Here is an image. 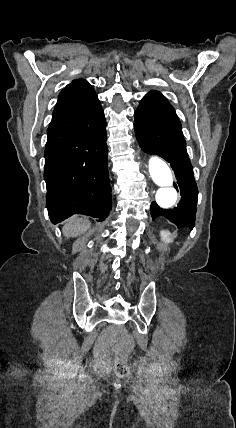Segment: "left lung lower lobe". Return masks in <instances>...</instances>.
<instances>
[{
  "label": "left lung lower lobe",
  "mask_w": 236,
  "mask_h": 428,
  "mask_svg": "<svg viewBox=\"0 0 236 428\" xmlns=\"http://www.w3.org/2000/svg\"><path fill=\"white\" fill-rule=\"evenodd\" d=\"M134 128L141 149L149 154L161 156L174 170L181 200L174 209H162L156 202L151 204L153 220L164 216L178 228L195 226L198 189L193 176L181 123L171 105L155 102L140 103L135 111Z\"/></svg>",
  "instance_id": "1"
}]
</instances>
